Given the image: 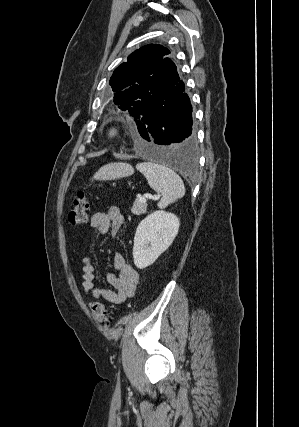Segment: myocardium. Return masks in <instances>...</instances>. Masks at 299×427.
Listing matches in <instances>:
<instances>
[{"label":"myocardium","instance_id":"myocardium-1","mask_svg":"<svg viewBox=\"0 0 299 427\" xmlns=\"http://www.w3.org/2000/svg\"><path fill=\"white\" fill-rule=\"evenodd\" d=\"M123 132V128L121 126L120 123L116 122V121H111L108 122L103 130L104 133V137L108 140V141H116L118 140Z\"/></svg>","mask_w":299,"mask_h":427}]
</instances>
